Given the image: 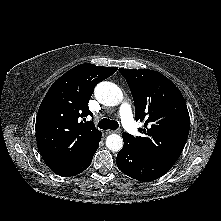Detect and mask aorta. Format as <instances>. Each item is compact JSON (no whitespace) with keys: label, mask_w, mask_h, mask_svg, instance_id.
I'll use <instances>...</instances> for the list:
<instances>
[{"label":"aorta","mask_w":221,"mask_h":221,"mask_svg":"<svg viewBox=\"0 0 221 221\" xmlns=\"http://www.w3.org/2000/svg\"><path fill=\"white\" fill-rule=\"evenodd\" d=\"M96 99L105 106H116L123 100L121 89L114 83L103 81L94 91ZM106 146L109 150L118 152L123 147V139L120 135L111 134L106 138Z\"/></svg>","instance_id":"762f6f07"}]
</instances>
